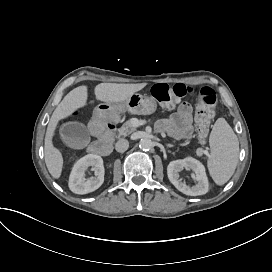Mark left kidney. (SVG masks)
I'll return each mask as SVG.
<instances>
[{
	"label": "left kidney",
	"mask_w": 272,
	"mask_h": 272,
	"mask_svg": "<svg viewBox=\"0 0 272 272\" xmlns=\"http://www.w3.org/2000/svg\"><path fill=\"white\" fill-rule=\"evenodd\" d=\"M191 169L196 174L197 184L189 187L185 183L179 181V172L183 169ZM167 175L170 182L182 193L190 196L203 195L208 192L209 183L206 176L204 165L195 158L186 157L171 161L167 167Z\"/></svg>",
	"instance_id": "left-kidney-1"
}]
</instances>
